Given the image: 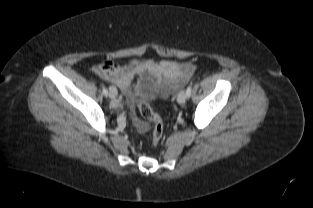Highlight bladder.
Instances as JSON below:
<instances>
[{
    "label": "bladder",
    "mask_w": 313,
    "mask_h": 208,
    "mask_svg": "<svg viewBox=\"0 0 313 208\" xmlns=\"http://www.w3.org/2000/svg\"><path fill=\"white\" fill-rule=\"evenodd\" d=\"M164 94L163 86L151 76L144 77L137 90V97L140 101L151 100Z\"/></svg>",
    "instance_id": "31cf9c89"
}]
</instances>
